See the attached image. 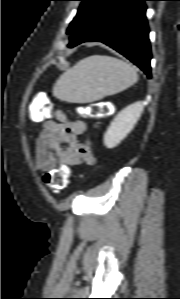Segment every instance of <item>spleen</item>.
I'll list each match as a JSON object with an SVG mask.
<instances>
[{"label": "spleen", "instance_id": "obj_1", "mask_svg": "<svg viewBox=\"0 0 180 299\" xmlns=\"http://www.w3.org/2000/svg\"><path fill=\"white\" fill-rule=\"evenodd\" d=\"M137 80V72L129 63L107 55H92L59 77L53 95L61 101L89 103L119 93Z\"/></svg>", "mask_w": 180, "mask_h": 299}]
</instances>
